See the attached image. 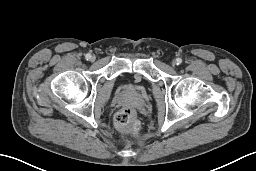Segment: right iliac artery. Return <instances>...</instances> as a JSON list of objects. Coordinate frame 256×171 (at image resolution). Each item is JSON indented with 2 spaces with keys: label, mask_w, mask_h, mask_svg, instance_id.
<instances>
[{
  "label": "right iliac artery",
  "mask_w": 256,
  "mask_h": 171,
  "mask_svg": "<svg viewBox=\"0 0 256 171\" xmlns=\"http://www.w3.org/2000/svg\"><path fill=\"white\" fill-rule=\"evenodd\" d=\"M85 58H86L87 60H89V59L91 58V54H89V53L86 54V55H85Z\"/></svg>",
  "instance_id": "82829eb1"
}]
</instances>
